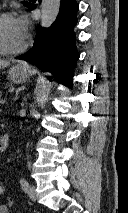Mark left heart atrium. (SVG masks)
<instances>
[{"instance_id": "1", "label": "left heart atrium", "mask_w": 128, "mask_h": 213, "mask_svg": "<svg viewBox=\"0 0 128 213\" xmlns=\"http://www.w3.org/2000/svg\"><path fill=\"white\" fill-rule=\"evenodd\" d=\"M15 25L20 33V35L25 38L28 31V21L24 15H20L14 18Z\"/></svg>"}]
</instances>
